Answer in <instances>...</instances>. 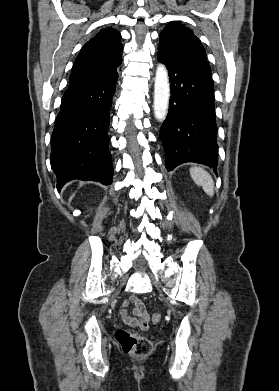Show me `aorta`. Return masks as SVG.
<instances>
[{"instance_id": "762f6f07", "label": "aorta", "mask_w": 279, "mask_h": 391, "mask_svg": "<svg viewBox=\"0 0 279 391\" xmlns=\"http://www.w3.org/2000/svg\"><path fill=\"white\" fill-rule=\"evenodd\" d=\"M170 85L168 72L163 64H159L156 69L154 83V115L159 121H164L169 106Z\"/></svg>"}]
</instances>
